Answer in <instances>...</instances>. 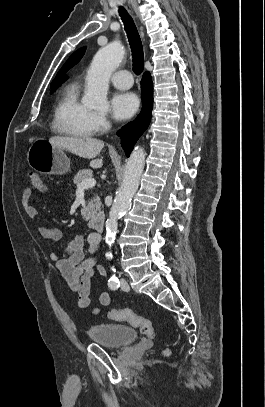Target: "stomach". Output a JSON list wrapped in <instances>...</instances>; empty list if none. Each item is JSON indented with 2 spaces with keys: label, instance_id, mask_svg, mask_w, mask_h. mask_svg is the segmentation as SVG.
<instances>
[{
  "label": "stomach",
  "instance_id": "0dacf381",
  "mask_svg": "<svg viewBox=\"0 0 265 407\" xmlns=\"http://www.w3.org/2000/svg\"><path fill=\"white\" fill-rule=\"evenodd\" d=\"M29 165L41 174L63 175L69 171L70 160L64 149L55 147L49 141L34 142L27 153Z\"/></svg>",
  "mask_w": 265,
  "mask_h": 407
}]
</instances>
